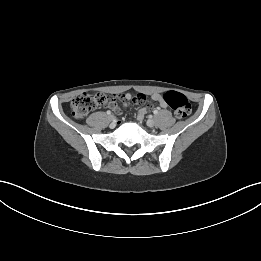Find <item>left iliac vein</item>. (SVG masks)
<instances>
[{
  "label": "left iliac vein",
  "mask_w": 261,
  "mask_h": 261,
  "mask_svg": "<svg viewBox=\"0 0 261 261\" xmlns=\"http://www.w3.org/2000/svg\"><path fill=\"white\" fill-rule=\"evenodd\" d=\"M156 124V121L154 119H148L147 120V126L154 127Z\"/></svg>",
  "instance_id": "1"
}]
</instances>
